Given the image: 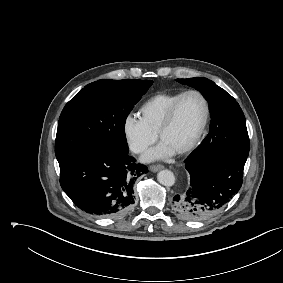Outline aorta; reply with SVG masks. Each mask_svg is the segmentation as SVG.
Returning <instances> with one entry per match:
<instances>
[{"mask_svg": "<svg viewBox=\"0 0 283 283\" xmlns=\"http://www.w3.org/2000/svg\"><path fill=\"white\" fill-rule=\"evenodd\" d=\"M157 179L159 183L164 186H172L175 183V176L169 170H161L157 174Z\"/></svg>", "mask_w": 283, "mask_h": 283, "instance_id": "762f6f07", "label": "aorta"}]
</instances>
